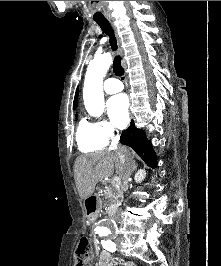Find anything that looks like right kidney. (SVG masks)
<instances>
[{"label":"right kidney","instance_id":"obj_1","mask_svg":"<svg viewBox=\"0 0 221 266\" xmlns=\"http://www.w3.org/2000/svg\"><path fill=\"white\" fill-rule=\"evenodd\" d=\"M145 176H146V171L143 170V169H140V170L135 174L134 179H135V181H136L137 183H141V182L144 180Z\"/></svg>","mask_w":221,"mask_h":266}]
</instances>
